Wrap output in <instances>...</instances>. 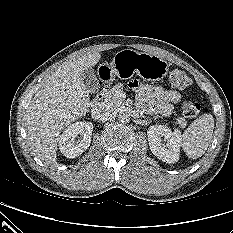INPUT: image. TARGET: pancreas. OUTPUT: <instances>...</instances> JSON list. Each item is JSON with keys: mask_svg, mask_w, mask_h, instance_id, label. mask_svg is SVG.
Returning <instances> with one entry per match:
<instances>
[{"mask_svg": "<svg viewBox=\"0 0 233 233\" xmlns=\"http://www.w3.org/2000/svg\"><path fill=\"white\" fill-rule=\"evenodd\" d=\"M123 91V85L121 83L116 84L112 89L108 90L104 94V100L110 107H119L123 104V100L119 97ZM177 124L184 128L187 125V121L183 117H178Z\"/></svg>", "mask_w": 233, "mask_h": 233, "instance_id": "cf45deb5", "label": "pancreas"}]
</instances>
